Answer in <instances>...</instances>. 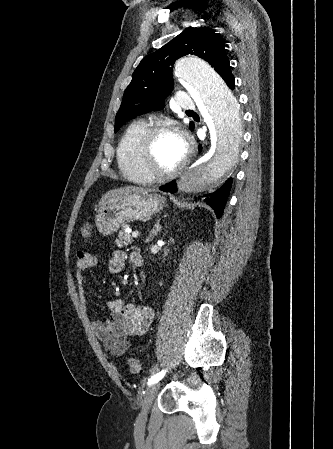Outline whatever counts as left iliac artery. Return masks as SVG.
Returning a JSON list of instances; mask_svg holds the SVG:
<instances>
[{
    "mask_svg": "<svg viewBox=\"0 0 333 449\" xmlns=\"http://www.w3.org/2000/svg\"><path fill=\"white\" fill-rule=\"evenodd\" d=\"M166 374V370H162L160 372H157L156 374L152 375L149 379H148V386L157 383L158 381H160L164 375Z\"/></svg>",
    "mask_w": 333,
    "mask_h": 449,
    "instance_id": "1",
    "label": "left iliac artery"
}]
</instances>
